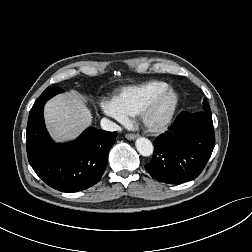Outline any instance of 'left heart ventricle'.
I'll list each match as a JSON object with an SVG mask.
<instances>
[{"instance_id": "1", "label": "left heart ventricle", "mask_w": 252, "mask_h": 252, "mask_svg": "<svg viewBox=\"0 0 252 252\" xmlns=\"http://www.w3.org/2000/svg\"><path fill=\"white\" fill-rule=\"evenodd\" d=\"M171 102L172 100L170 96L168 95L164 96L153 110L151 114V119L153 120L161 119L168 112L171 106Z\"/></svg>"}]
</instances>
